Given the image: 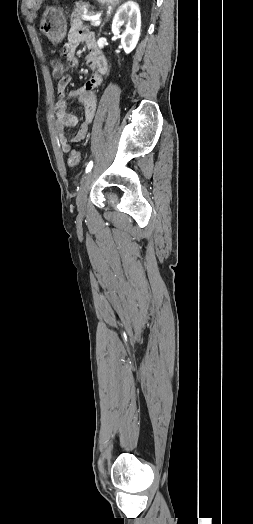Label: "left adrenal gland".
<instances>
[{
    "label": "left adrenal gland",
    "mask_w": 253,
    "mask_h": 524,
    "mask_svg": "<svg viewBox=\"0 0 253 524\" xmlns=\"http://www.w3.org/2000/svg\"><path fill=\"white\" fill-rule=\"evenodd\" d=\"M103 25H104V24L101 25V27H100V31H101V28H102Z\"/></svg>",
    "instance_id": "a2214340"
}]
</instances>
